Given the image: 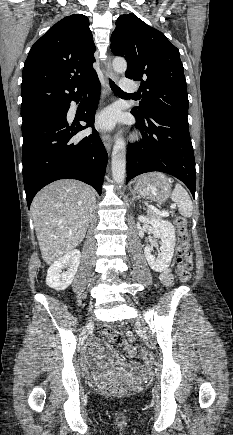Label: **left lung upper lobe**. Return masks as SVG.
<instances>
[{
    "label": "left lung upper lobe",
    "instance_id": "5c2ea615",
    "mask_svg": "<svg viewBox=\"0 0 233 435\" xmlns=\"http://www.w3.org/2000/svg\"><path fill=\"white\" fill-rule=\"evenodd\" d=\"M111 51L127 60L125 76L141 81V101L132 113L187 118L188 96L179 50L157 29L133 14L121 15L111 36Z\"/></svg>",
    "mask_w": 233,
    "mask_h": 435
}]
</instances>
